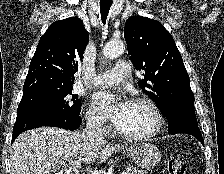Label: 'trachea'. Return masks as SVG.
<instances>
[{"label": "trachea", "instance_id": "obj_1", "mask_svg": "<svg viewBox=\"0 0 224 174\" xmlns=\"http://www.w3.org/2000/svg\"><path fill=\"white\" fill-rule=\"evenodd\" d=\"M111 0H100V7H101V19L102 23L105 24L109 10L112 6Z\"/></svg>", "mask_w": 224, "mask_h": 174}]
</instances>
